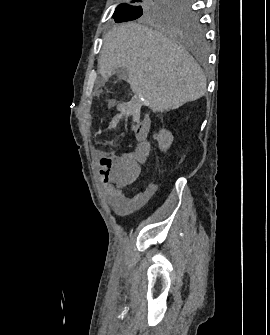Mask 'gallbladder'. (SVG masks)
Returning a JSON list of instances; mask_svg holds the SVG:
<instances>
[{
  "label": "gallbladder",
  "instance_id": "1",
  "mask_svg": "<svg viewBox=\"0 0 270 335\" xmlns=\"http://www.w3.org/2000/svg\"><path fill=\"white\" fill-rule=\"evenodd\" d=\"M117 76L118 78H120V80H127L128 78L127 68H118Z\"/></svg>",
  "mask_w": 270,
  "mask_h": 335
}]
</instances>
